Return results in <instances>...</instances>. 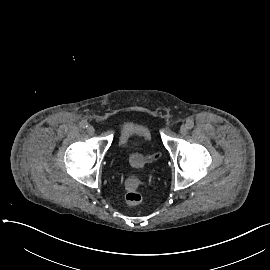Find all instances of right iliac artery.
<instances>
[{"instance_id":"right-iliac-artery-1","label":"right iliac artery","mask_w":270,"mask_h":270,"mask_svg":"<svg viewBox=\"0 0 270 270\" xmlns=\"http://www.w3.org/2000/svg\"><path fill=\"white\" fill-rule=\"evenodd\" d=\"M80 127L87 128L88 127V123L86 121H81L80 122Z\"/></svg>"}]
</instances>
